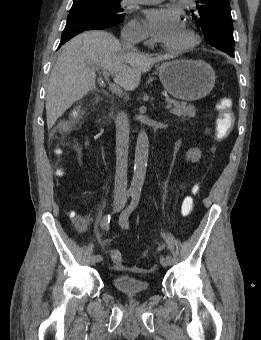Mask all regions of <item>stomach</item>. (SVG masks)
I'll return each instance as SVG.
<instances>
[{"instance_id":"obj_1","label":"stomach","mask_w":261,"mask_h":340,"mask_svg":"<svg viewBox=\"0 0 261 340\" xmlns=\"http://www.w3.org/2000/svg\"><path fill=\"white\" fill-rule=\"evenodd\" d=\"M158 70L165 90L183 101H196L206 97L215 84V71L201 60L166 62Z\"/></svg>"}]
</instances>
